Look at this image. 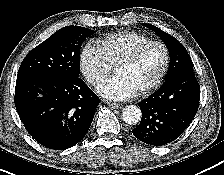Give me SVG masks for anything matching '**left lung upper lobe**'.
Segmentation results:
<instances>
[{"label":"left lung upper lobe","mask_w":224,"mask_h":175,"mask_svg":"<svg viewBox=\"0 0 224 175\" xmlns=\"http://www.w3.org/2000/svg\"><path fill=\"white\" fill-rule=\"evenodd\" d=\"M143 25L153 30L164 41L168 48L170 65L166 78L182 71H193L191 58L184 46L178 40L154 25L146 23H143Z\"/></svg>","instance_id":"5c2ea615"}]
</instances>
